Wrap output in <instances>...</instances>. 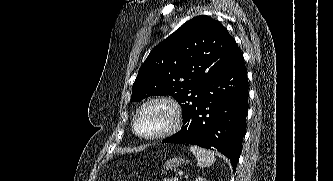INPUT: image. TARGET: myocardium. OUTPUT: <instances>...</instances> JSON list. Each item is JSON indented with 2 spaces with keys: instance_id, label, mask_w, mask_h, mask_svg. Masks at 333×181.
<instances>
[{
  "instance_id": "obj_1",
  "label": "myocardium",
  "mask_w": 333,
  "mask_h": 181,
  "mask_svg": "<svg viewBox=\"0 0 333 181\" xmlns=\"http://www.w3.org/2000/svg\"><path fill=\"white\" fill-rule=\"evenodd\" d=\"M154 104H163L170 109L171 114H172L171 123L162 132H159L157 134L150 135V136L141 135L136 128L137 119L145 108H147L151 105H154ZM182 122H183V111H182V107L179 104V102L172 97L156 96V97H152V98L146 100L145 102H143L139 106V108L136 110L135 115L132 120V130L136 136H138L139 138H141L143 140H159V139L166 138V137L174 134L175 132H177L180 129Z\"/></svg>"
}]
</instances>
